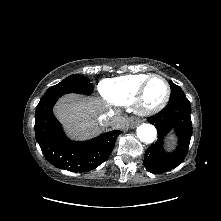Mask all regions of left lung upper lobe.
I'll return each mask as SVG.
<instances>
[{
	"instance_id": "obj_1",
	"label": "left lung upper lobe",
	"mask_w": 221,
	"mask_h": 221,
	"mask_svg": "<svg viewBox=\"0 0 221 221\" xmlns=\"http://www.w3.org/2000/svg\"><path fill=\"white\" fill-rule=\"evenodd\" d=\"M170 86H171V95H170V101L178 98H185V94L182 91V89L174 84L172 81H169Z\"/></svg>"
}]
</instances>
